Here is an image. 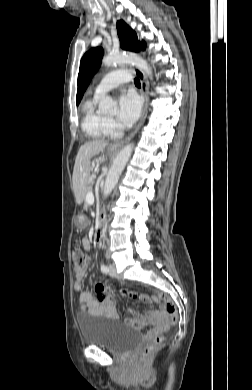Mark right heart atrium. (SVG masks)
Listing matches in <instances>:
<instances>
[{
    "instance_id": "obj_1",
    "label": "right heart atrium",
    "mask_w": 252,
    "mask_h": 390,
    "mask_svg": "<svg viewBox=\"0 0 252 390\" xmlns=\"http://www.w3.org/2000/svg\"><path fill=\"white\" fill-rule=\"evenodd\" d=\"M107 128L110 131L111 134L117 133L119 129V125L117 122L113 119H107Z\"/></svg>"
}]
</instances>
